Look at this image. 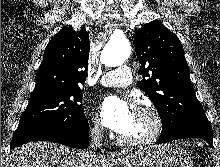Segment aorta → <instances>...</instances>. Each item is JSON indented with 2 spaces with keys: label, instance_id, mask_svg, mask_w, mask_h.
Returning <instances> with one entry per match:
<instances>
[{
  "label": "aorta",
  "instance_id": "1",
  "mask_svg": "<svg viewBox=\"0 0 220 167\" xmlns=\"http://www.w3.org/2000/svg\"><path fill=\"white\" fill-rule=\"evenodd\" d=\"M131 54V45L123 36L113 37L104 47L100 61L108 67L122 65Z\"/></svg>",
  "mask_w": 220,
  "mask_h": 167
}]
</instances>
